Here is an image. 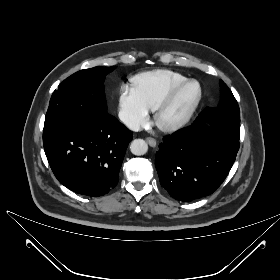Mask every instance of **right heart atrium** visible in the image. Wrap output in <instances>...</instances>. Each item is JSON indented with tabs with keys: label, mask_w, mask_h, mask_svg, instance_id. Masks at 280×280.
Listing matches in <instances>:
<instances>
[{
	"label": "right heart atrium",
	"mask_w": 280,
	"mask_h": 280,
	"mask_svg": "<svg viewBox=\"0 0 280 280\" xmlns=\"http://www.w3.org/2000/svg\"><path fill=\"white\" fill-rule=\"evenodd\" d=\"M119 115L131 129L143 126L149 116V110L144 106L134 88L126 84H123L119 91Z\"/></svg>",
	"instance_id": "d8ad5b80"
}]
</instances>
